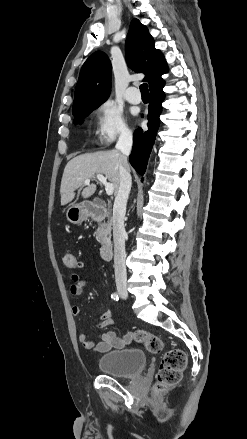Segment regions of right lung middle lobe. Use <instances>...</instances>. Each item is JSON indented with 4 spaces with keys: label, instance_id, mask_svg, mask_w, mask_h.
Wrapping results in <instances>:
<instances>
[{
    "label": "right lung middle lobe",
    "instance_id": "dd1d6c3e",
    "mask_svg": "<svg viewBox=\"0 0 247 439\" xmlns=\"http://www.w3.org/2000/svg\"><path fill=\"white\" fill-rule=\"evenodd\" d=\"M94 109H96V108H94ZM94 109L86 110V111H83V112H80V113L74 115V117H75L74 123L75 124L77 122L82 123V119L85 118L86 116H88V114L91 113Z\"/></svg>",
    "mask_w": 247,
    "mask_h": 439
}]
</instances>
